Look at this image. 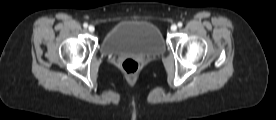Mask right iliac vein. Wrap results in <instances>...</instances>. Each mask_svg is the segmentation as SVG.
I'll return each instance as SVG.
<instances>
[{
	"instance_id": "63e3f726",
	"label": "right iliac vein",
	"mask_w": 276,
	"mask_h": 120,
	"mask_svg": "<svg viewBox=\"0 0 276 120\" xmlns=\"http://www.w3.org/2000/svg\"><path fill=\"white\" fill-rule=\"evenodd\" d=\"M89 32L93 33L95 31V27L93 25H90L88 27Z\"/></svg>"
}]
</instances>
